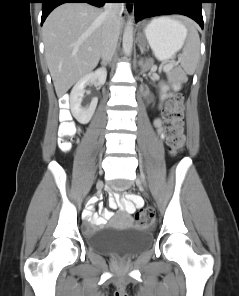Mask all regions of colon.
I'll return each instance as SVG.
<instances>
[{"label": "colon", "mask_w": 239, "mask_h": 296, "mask_svg": "<svg viewBox=\"0 0 239 296\" xmlns=\"http://www.w3.org/2000/svg\"><path fill=\"white\" fill-rule=\"evenodd\" d=\"M183 101L184 95L178 93L170 105L164 111L165 118V134L167 137V143L170 147V151L173 155H176L183 147L184 135H183ZM59 148L68 152L71 149L72 143L78 132L77 126L71 121V115L66 109H62L59 114ZM154 216V212L149 207H139L135 212V219L141 223L146 224Z\"/></svg>", "instance_id": "1"}]
</instances>
